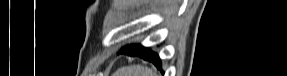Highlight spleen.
<instances>
[{
    "instance_id": "3e777b00",
    "label": "spleen",
    "mask_w": 287,
    "mask_h": 76,
    "mask_svg": "<svg viewBox=\"0 0 287 76\" xmlns=\"http://www.w3.org/2000/svg\"><path fill=\"white\" fill-rule=\"evenodd\" d=\"M153 71L142 65H131L119 68L113 76H154Z\"/></svg>"
}]
</instances>
